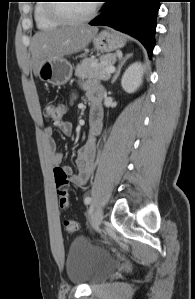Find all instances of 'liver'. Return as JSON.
<instances>
[{"label": "liver", "mask_w": 195, "mask_h": 299, "mask_svg": "<svg viewBox=\"0 0 195 299\" xmlns=\"http://www.w3.org/2000/svg\"><path fill=\"white\" fill-rule=\"evenodd\" d=\"M97 27L69 26L37 32L31 41L33 72L38 76L45 61L62 58L85 49L97 34Z\"/></svg>", "instance_id": "1"}]
</instances>
